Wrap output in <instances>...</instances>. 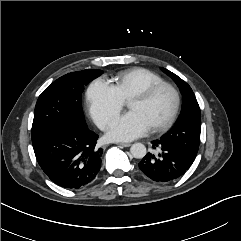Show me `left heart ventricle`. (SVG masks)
Returning <instances> with one entry per match:
<instances>
[{"instance_id": "left-heart-ventricle-1", "label": "left heart ventricle", "mask_w": 241, "mask_h": 241, "mask_svg": "<svg viewBox=\"0 0 241 241\" xmlns=\"http://www.w3.org/2000/svg\"><path fill=\"white\" fill-rule=\"evenodd\" d=\"M174 106L172 92L163 88L147 101L133 100L128 107L131 111L140 113L151 127L164 123L170 116Z\"/></svg>"}]
</instances>
